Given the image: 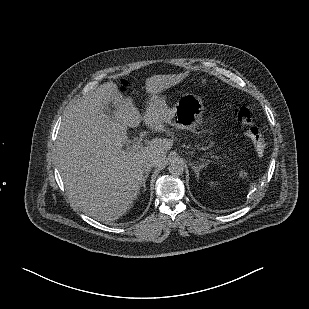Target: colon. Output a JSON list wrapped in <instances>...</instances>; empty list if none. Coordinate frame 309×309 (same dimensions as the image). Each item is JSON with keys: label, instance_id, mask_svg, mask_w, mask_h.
<instances>
[{"label": "colon", "instance_id": "5ec220e1", "mask_svg": "<svg viewBox=\"0 0 309 309\" xmlns=\"http://www.w3.org/2000/svg\"><path fill=\"white\" fill-rule=\"evenodd\" d=\"M122 85H126V82L122 81ZM235 118L242 124L246 137L252 141L256 151L262 154L266 149V142L260 129L254 125L250 110L244 106L238 107Z\"/></svg>", "mask_w": 309, "mask_h": 309}]
</instances>
